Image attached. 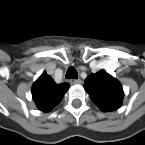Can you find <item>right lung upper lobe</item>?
<instances>
[{
	"instance_id": "right-lung-upper-lobe-1",
	"label": "right lung upper lobe",
	"mask_w": 145,
	"mask_h": 145,
	"mask_svg": "<svg viewBox=\"0 0 145 145\" xmlns=\"http://www.w3.org/2000/svg\"><path fill=\"white\" fill-rule=\"evenodd\" d=\"M68 89L67 84L58 85L46 72H43L32 86V97L39 110L48 112L60 103Z\"/></svg>"
}]
</instances>
